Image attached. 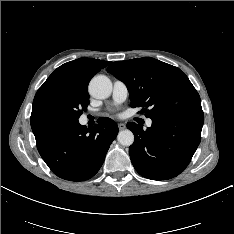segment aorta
I'll return each instance as SVG.
<instances>
[{"instance_id": "aorta-1", "label": "aorta", "mask_w": 234, "mask_h": 234, "mask_svg": "<svg viewBox=\"0 0 234 234\" xmlns=\"http://www.w3.org/2000/svg\"><path fill=\"white\" fill-rule=\"evenodd\" d=\"M89 92L97 99H105L109 97L112 92V83L110 79L104 75L95 76L90 81ZM117 140L123 146H130L134 142V134L128 129L120 131Z\"/></svg>"}]
</instances>
